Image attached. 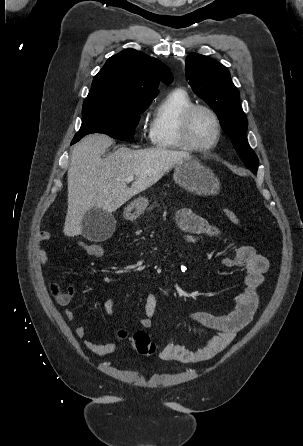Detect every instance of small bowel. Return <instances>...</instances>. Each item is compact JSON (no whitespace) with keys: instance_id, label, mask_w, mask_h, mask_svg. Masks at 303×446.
Segmentation results:
<instances>
[{"instance_id":"1","label":"small bowel","mask_w":303,"mask_h":446,"mask_svg":"<svg viewBox=\"0 0 303 446\" xmlns=\"http://www.w3.org/2000/svg\"><path fill=\"white\" fill-rule=\"evenodd\" d=\"M176 218L187 242L215 238L224 243L233 244L216 226L211 225L207 220L189 209L179 210ZM50 240L51 234L49 232L40 233V243H46ZM77 244L84 250L89 245L83 241H78ZM38 259L42 265L47 264L48 257L44 249L38 251ZM222 262L227 267L242 268L246 271L243 282L244 288L236 297L234 309L226 315H213L208 312L189 314L187 316L189 320L212 330L214 335L206 345L196 349H188L177 344H167L160 352V357L163 360L182 363L207 361L223 351L235 339L238 332L252 320L258 304L257 290L262 285L264 274L268 270V260L266 257L258 254L252 246L236 245L233 255L225 257ZM75 286L76 281L68 283L65 289H62L57 281H52L49 284L50 292L55 301L64 308L71 305L75 295ZM114 303V299L109 298L103 305L108 317H113L116 313ZM156 303V296L153 293L147 294L144 315L139 321L141 327L148 328L152 325ZM65 317L68 321H73L75 319L74 311L67 309ZM86 333V327L83 325L75 328V335L79 339L85 338ZM82 344L87 351L99 355L110 354L116 349L114 343L99 344L90 340H84Z\"/></svg>"}]
</instances>
